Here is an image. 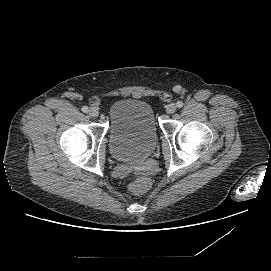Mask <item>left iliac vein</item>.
Segmentation results:
<instances>
[{"label": "left iliac vein", "instance_id": "1", "mask_svg": "<svg viewBox=\"0 0 271 271\" xmlns=\"http://www.w3.org/2000/svg\"><path fill=\"white\" fill-rule=\"evenodd\" d=\"M176 108H177V106H176L174 103H170V104L167 105V107H166V112H167L168 114H172V113H174V112L176 111Z\"/></svg>", "mask_w": 271, "mask_h": 271}]
</instances>
